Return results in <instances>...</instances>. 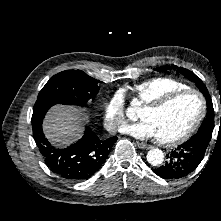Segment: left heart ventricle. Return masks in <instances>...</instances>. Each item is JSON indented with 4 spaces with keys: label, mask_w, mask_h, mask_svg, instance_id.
Returning <instances> with one entry per match:
<instances>
[{
    "label": "left heart ventricle",
    "mask_w": 221,
    "mask_h": 221,
    "mask_svg": "<svg viewBox=\"0 0 221 221\" xmlns=\"http://www.w3.org/2000/svg\"><path fill=\"white\" fill-rule=\"evenodd\" d=\"M200 103L195 95L187 94L178 97L159 111L141 109L139 117L153 126L156 137L171 139L183 133L199 113Z\"/></svg>",
    "instance_id": "left-heart-ventricle-1"
}]
</instances>
